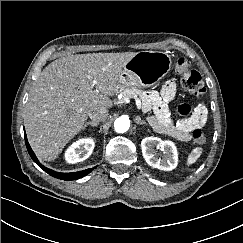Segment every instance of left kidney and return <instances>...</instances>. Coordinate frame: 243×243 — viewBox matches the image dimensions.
Segmentation results:
<instances>
[{
    "instance_id": "left-kidney-1",
    "label": "left kidney",
    "mask_w": 243,
    "mask_h": 243,
    "mask_svg": "<svg viewBox=\"0 0 243 243\" xmlns=\"http://www.w3.org/2000/svg\"><path fill=\"white\" fill-rule=\"evenodd\" d=\"M164 152L163 158H158L154 148ZM142 154L148 165L163 171L176 168L178 163L177 150L173 142L162 141L157 137H146L141 142Z\"/></svg>"
}]
</instances>
